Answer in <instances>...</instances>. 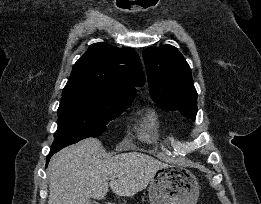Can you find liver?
I'll list each match as a JSON object with an SVG mask.
<instances>
[{"label":"liver","mask_w":261,"mask_h":204,"mask_svg":"<svg viewBox=\"0 0 261 204\" xmlns=\"http://www.w3.org/2000/svg\"><path fill=\"white\" fill-rule=\"evenodd\" d=\"M103 146L87 138L68 146L51 161L48 204H88L112 192L130 197L147 187L155 172L167 164L150 155L129 152L102 158ZM115 176L108 185L110 177Z\"/></svg>","instance_id":"1"}]
</instances>
